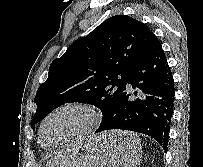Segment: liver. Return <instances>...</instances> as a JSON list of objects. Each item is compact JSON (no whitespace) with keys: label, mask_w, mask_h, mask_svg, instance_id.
<instances>
[{"label":"liver","mask_w":203,"mask_h":167,"mask_svg":"<svg viewBox=\"0 0 203 167\" xmlns=\"http://www.w3.org/2000/svg\"><path fill=\"white\" fill-rule=\"evenodd\" d=\"M135 139V135L128 132H112L109 134L102 135L100 140L96 141V144L93 147H97L104 142H119L124 147L131 146V142ZM74 155L69 154H60L57 157L51 159L46 167H68L73 160Z\"/></svg>","instance_id":"6515ba94"}]
</instances>
